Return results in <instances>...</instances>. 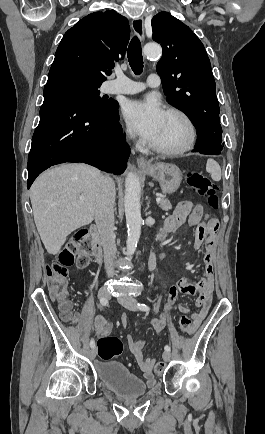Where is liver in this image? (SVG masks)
I'll use <instances>...</instances> for the list:
<instances>
[{"label": "liver", "instance_id": "obj_1", "mask_svg": "<svg viewBox=\"0 0 265 434\" xmlns=\"http://www.w3.org/2000/svg\"><path fill=\"white\" fill-rule=\"evenodd\" d=\"M100 176L86 164H65L47 170L32 184L34 222L48 254H60L71 232L93 222Z\"/></svg>", "mask_w": 265, "mask_h": 434}]
</instances>
